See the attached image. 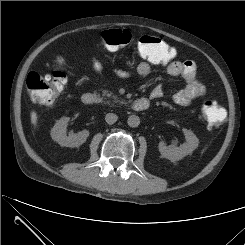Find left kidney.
<instances>
[{
  "label": "left kidney",
  "instance_id": "5707ae66",
  "mask_svg": "<svg viewBox=\"0 0 245 245\" xmlns=\"http://www.w3.org/2000/svg\"><path fill=\"white\" fill-rule=\"evenodd\" d=\"M182 131L185 135L186 142L179 147L167 146L165 142H159L158 148L163 158L171 161L180 160L198 147L199 139L196 135L185 128Z\"/></svg>",
  "mask_w": 245,
  "mask_h": 245
}]
</instances>
